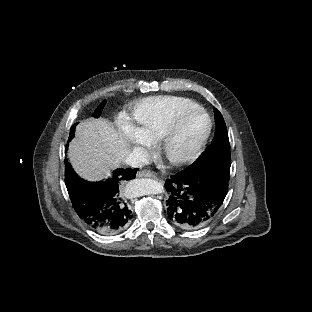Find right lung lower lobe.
Segmentation results:
<instances>
[{
  "label": "right lung lower lobe",
  "instance_id": "right-lung-lower-lobe-1",
  "mask_svg": "<svg viewBox=\"0 0 312 312\" xmlns=\"http://www.w3.org/2000/svg\"><path fill=\"white\" fill-rule=\"evenodd\" d=\"M137 171L117 169L104 181L90 182L78 177L65 159V183L72 205L88 227L103 235H113L129 225L133 214L125 192Z\"/></svg>",
  "mask_w": 312,
  "mask_h": 312
}]
</instances>
